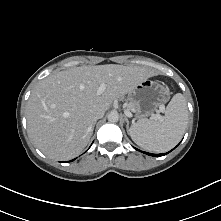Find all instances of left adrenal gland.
I'll return each mask as SVG.
<instances>
[{"instance_id": "obj_1", "label": "left adrenal gland", "mask_w": 221, "mask_h": 221, "mask_svg": "<svg viewBox=\"0 0 221 221\" xmlns=\"http://www.w3.org/2000/svg\"><path fill=\"white\" fill-rule=\"evenodd\" d=\"M125 121L127 123V125H126L127 131H129V120L127 118H125Z\"/></svg>"}]
</instances>
